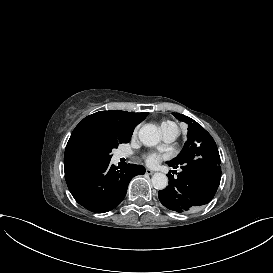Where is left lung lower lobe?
<instances>
[{
    "instance_id": "1",
    "label": "left lung lower lobe",
    "mask_w": 273,
    "mask_h": 273,
    "mask_svg": "<svg viewBox=\"0 0 273 273\" xmlns=\"http://www.w3.org/2000/svg\"><path fill=\"white\" fill-rule=\"evenodd\" d=\"M169 164V163H168ZM182 171L178 177L169 174V185L158 192L160 202L178 213L209 203L221 179V167L206 159H193L183 164H169Z\"/></svg>"
}]
</instances>
